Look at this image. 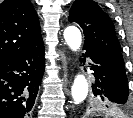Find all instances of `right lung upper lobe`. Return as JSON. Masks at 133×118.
Masks as SVG:
<instances>
[{
  "label": "right lung upper lobe",
  "mask_w": 133,
  "mask_h": 118,
  "mask_svg": "<svg viewBox=\"0 0 133 118\" xmlns=\"http://www.w3.org/2000/svg\"><path fill=\"white\" fill-rule=\"evenodd\" d=\"M37 13L30 0H5L0 4V63L42 43Z\"/></svg>",
  "instance_id": "obj_1"
}]
</instances>
